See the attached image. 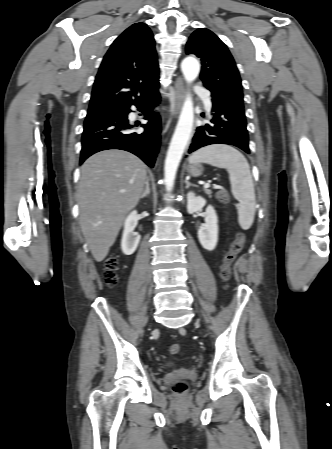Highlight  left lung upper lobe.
I'll list each match as a JSON object with an SVG mask.
<instances>
[{"label": "left lung upper lobe", "mask_w": 332, "mask_h": 449, "mask_svg": "<svg viewBox=\"0 0 332 449\" xmlns=\"http://www.w3.org/2000/svg\"><path fill=\"white\" fill-rule=\"evenodd\" d=\"M186 53L201 58L200 78L213 99L244 108L241 79L234 59L213 32L197 29L187 42Z\"/></svg>", "instance_id": "1"}]
</instances>
